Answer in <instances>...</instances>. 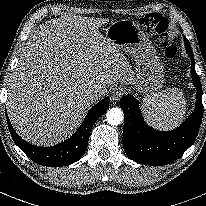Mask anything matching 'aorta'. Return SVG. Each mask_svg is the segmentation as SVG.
I'll return each mask as SVG.
<instances>
[{
	"mask_svg": "<svg viewBox=\"0 0 206 206\" xmlns=\"http://www.w3.org/2000/svg\"><path fill=\"white\" fill-rule=\"evenodd\" d=\"M123 119V111L120 108H111L107 111L106 120L110 125H119Z\"/></svg>",
	"mask_w": 206,
	"mask_h": 206,
	"instance_id": "obj_1",
	"label": "aorta"
}]
</instances>
